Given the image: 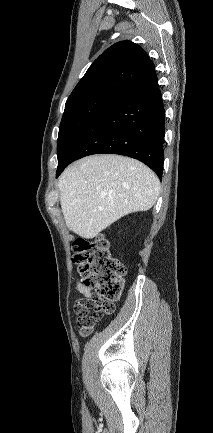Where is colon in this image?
<instances>
[{"label": "colon", "mask_w": 213, "mask_h": 433, "mask_svg": "<svg viewBox=\"0 0 213 433\" xmlns=\"http://www.w3.org/2000/svg\"><path fill=\"white\" fill-rule=\"evenodd\" d=\"M74 262L78 265L82 285L93 298L77 306L78 324L89 328L114 311L123 288L126 269L114 257L108 239L99 235L93 239H76L72 243Z\"/></svg>", "instance_id": "1"}]
</instances>
